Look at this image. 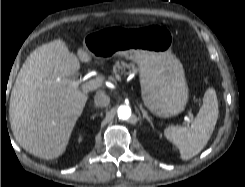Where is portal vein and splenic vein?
Here are the masks:
<instances>
[{
  "label": "portal vein and splenic vein",
  "instance_id": "1",
  "mask_svg": "<svg viewBox=\"0 0 245 187\" xmlns=\"http://www.w3.org/2000/svg\"><path fill=\"white\" fill-rule=\"evenodd\" d=\"M60 81H61V80H60L59 78L56 80V82H60ZM65 83H66L70 88L76 89V88H78V86H79V84H80V81L67 80ZM189 116H190V118L187 119V121H188V122H191V121H192V114L189 113Z\"/></svg>",
  "mask_w": 245,
  "mask_h": 187
}]
</instances>
